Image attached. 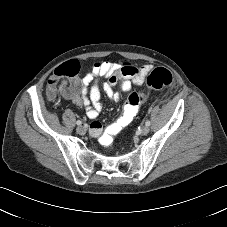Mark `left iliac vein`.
I'll return each mask as SVG.
<instances>
[{
    "label": "left iliac vein",
    "instance_id": "1",
    "mask_svg": "<svg viewBox=\"0 0 227 227\" xmlns=\"http://www.w3.org/2000/svg\"><path fill=\"white\" fill-rule=\"evenodd\" d=\"M149 131H150V128L148 126H144L141 129V134L142 135H147L149 133Z\"/></svg>",
    "mask_w": 227,
    "mask_h": 227
}]
</instances>
